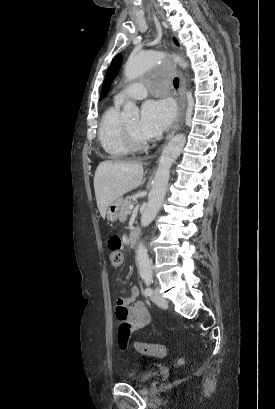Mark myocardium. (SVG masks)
Returning <instances> with one entry per match:
<instances>
[{
  "mask_svg": "<svg viewBox=\"0 0 275 409\" xmlns=\"http://www.w3.org/2000/svg\"><path fill=\"white\" fill-rule=\"evenodd\" d=\"M124 138L126 145L131 151H145L151 144L150 141L141 142L139 141L132 131L129 129L126 123L123 124Z\"/></svg>",
  "mask_w": 275,
  "mask_h": 409,
  "instance_id": "obj_1",
  "label": "myocardium"
}]
</instances>
